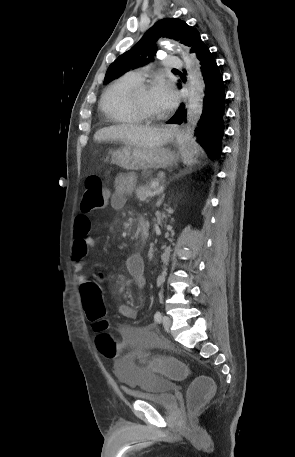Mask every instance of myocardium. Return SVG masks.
<instances>
[{"mask_svg":"<svg viewBox=\"0 0 295 457\" xmlns=\"http://www.w3.org/2000/svg\"><path fill=\"white\" fill-rule=\"evenodd\" d=\"M150 89L149 83H139L128 94V103L132 112L142 121L154 122L162 119L164 114L153 115L147 113L139 103V95L143 90Z\"/></svg>","mask_w":295,"mask_h":457,"instance_id":"1","label":"myocardium"}]
</instances>
